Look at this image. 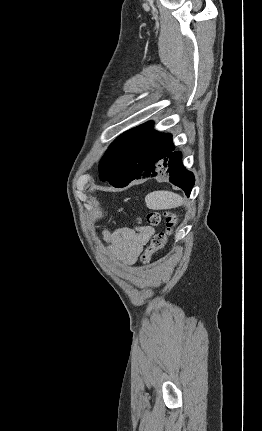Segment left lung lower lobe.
Returning a JSON list of instances; mask_svg holds the SVG:
<instances>
[{
    "instance_id": "obj_1",
    "label": "left lung lower lobe",
    "mask_w": 262,
    "mask_h": 431,
    "mask_svg": "<svg viewBox=\"0 0 262 431\" xmlns=\"http://www.w3.org/2000/svg\"><path fill=\"white\" fill-rule=\"evenodd\" d=\"M172 136L160 134L152 138L136 153L130 165L131 177L118 188L140 177H153L159 173L169 176V181L183 189L186 195L194 186L193 173L186 170L182 164V153L174 151Z\"/></svg>"
}]
</instances>
